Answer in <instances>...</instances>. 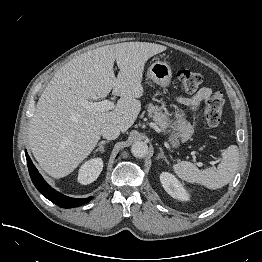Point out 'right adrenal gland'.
<instances>
[{"mask_svg": "<svg viewBox=\"0 0 262 262\" xmlns=\"http://www.w3.org/2000/svg\"><path fill=\"white\" fill-rule=\"evenodd\" d=\"M109 140H102L99 144L95 152L100 151L101 153L104 152V144L109 143Z\"/></svg>", "mask_w": 262, "mask_h": 262, "instance_id": "obj_1", "label": "right adrenal gland"}]
</instances>
